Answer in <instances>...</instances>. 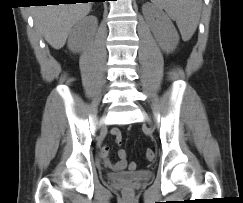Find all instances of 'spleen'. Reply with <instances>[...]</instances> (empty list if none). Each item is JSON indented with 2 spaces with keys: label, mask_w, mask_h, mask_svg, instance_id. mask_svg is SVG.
Listing matches in <instances>:
<instances>
[{
  "label": "spleen",
  "mask_w": 243,
  "mask_h": 203,
  "mask_svg": "<svg viewBox=\"0 0 243 203\" xmlns=\"http://www.w3.org/2000/svg\"><path fill=\"white\" fill-rule=\"evenodd\" d=\"M159 9H164L176 21L182 39L188 41L199 23L202 0H151Z\"/></svg>",
  "instance_id": "3e777b00"
}]
</instances>
